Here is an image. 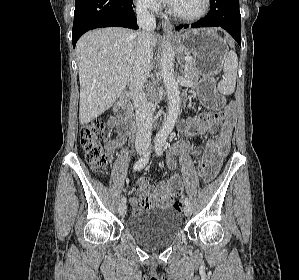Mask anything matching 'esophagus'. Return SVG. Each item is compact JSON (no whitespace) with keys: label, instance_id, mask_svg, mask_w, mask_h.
<instances>
[{"label":"esophagus","instance_id":"34e87169","mask_svg":"<svg viewBox=\"0 0 299 280\" xmlns=\"http://www.w3.org/2000/svg\"><path fill=\"white\" fill-rule=\"evenodd\" d=\"M162 28L165 33H173V25L168 21H162Z\"/></svg>","mask_w":299,"mask_h":280}]
</instances>
